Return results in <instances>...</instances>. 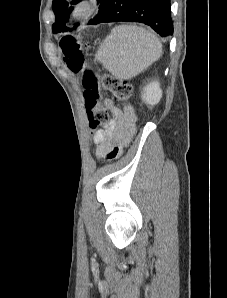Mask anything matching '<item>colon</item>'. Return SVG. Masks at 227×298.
Returning <instances> with one entry per match:
<instances>
[{
  "label": "colon",
  "mask_w": 227,
  "mask_h": 298,
  "mask_svg": "<svg viewBox=\"0 0 227 298\" xmlns=\"http://www.w3.org/2000/svg\"><path fill=\"white\" fill-rule=\"evenodd\" d=\"M61 49L68 69L74 74L83 75L89 127L94 129L106 124L109 121V114L100 106V89L109 91L117 99L127 100L133 93V86L111 74L96 75L91 69H86L85 52L89 50L88 44H81L72 37H65L61 41Z\"/></svg>",
  "instance_id": "obj_1"
}]
</instances>
